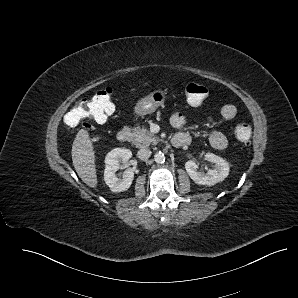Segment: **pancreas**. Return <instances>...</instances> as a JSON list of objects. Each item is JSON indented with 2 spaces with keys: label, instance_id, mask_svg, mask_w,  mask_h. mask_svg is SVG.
<instances>
[{
  "label": "pancreas",
  "instance_id": "cf45deb5",
  "mask_svg": "<svg viewBox=\"0 0 298 298\" xmlns=\"http://www.w3.org/2000/svg\"><path fill=\"white\" fill-rule=\"evenodd\" d=\"M132 143L138 148H145L152 145H157L162 141L158 136L148 131L144 127H135L131 133Z\"/></svg>",
  "mask_w": 298,
  "mask_h": 298
}]
</instances>
